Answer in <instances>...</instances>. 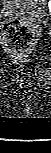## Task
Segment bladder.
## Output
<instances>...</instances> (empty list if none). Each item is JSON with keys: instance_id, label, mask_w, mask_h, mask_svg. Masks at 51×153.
<instances>
[{"instance_id": "1", "label": "bladder", "mask_w": 51, "mask_h": 153, "mask_svg": "<svg viewBox=\"0 0 51 153\" xmlns=\"http://www.w3.org/2000/svg\"><path fill=\"white\" fill-rule=\"evenodd\" d=\"M5 11L31 22L40 23L48 15V5L45 0H5Z\"/></svg>"}]
</instances>
